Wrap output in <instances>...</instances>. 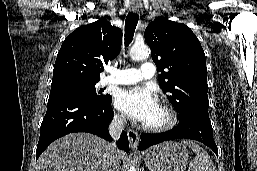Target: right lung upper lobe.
<instances>
[{"label": "right lung upper lobe", "mask_w": 257, "mask_h": 171, "mask_svg": "<svg viewBox=\"0 0 257 171\" xmlns=\"http://www.w3.org/2000/svg\"><path fill=\"white\" fill-rule=\"evenodd\" d=\"M121 44V29L112 26L105 18L80 26L62 43L51 88L99 81L103 64L119 54Z\"/></svg>", "instance_id": "right-lung-upper-lobe-1"}]
</instances>
